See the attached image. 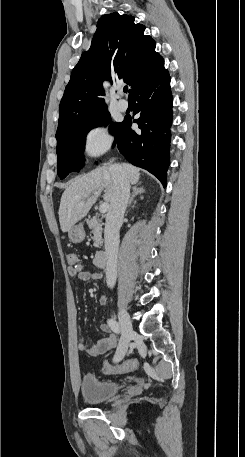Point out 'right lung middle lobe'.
Returning <instances> with one entry per match:
<instances>
[{
    "instance_id": "dd1d6c3e",
    "label": "right lung middle lobe",
    "mask_w": 245,
    "mask_h": 457,
    "mask_svg": "<svg viewBox=\"0 0 245 457\" xmlns=\"http://www.w3.org/2000/svg\"><path fill=\"white\" fill-rule=\"evenodd\" d=\"M111 122L107 108L87 117L66 123L57 129V173L61 179L72 171H79L84 164V148L87 133L99 125ZM120 123H112L110 129L115 135L116 143Z\"/></svg>"
}]
</instances>
